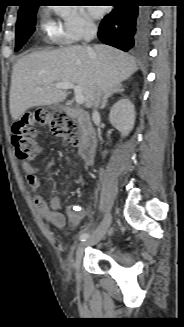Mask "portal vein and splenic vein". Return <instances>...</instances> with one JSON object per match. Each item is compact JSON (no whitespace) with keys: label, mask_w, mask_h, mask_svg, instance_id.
Masks as SVG:
<instances>
[{"label":"portal vein and splenic vein","mask_w":184,"mask_h":327,"mask_svg":"<svg viewBox=\"0 0 184 327\" xmlns=\"http://www.w3.org/2000/svg\"><path fill=\"white\" fill-rule=\"evenodd\" d=\"M54 87L56 89H73L74 90V94H75V101L77 104L81 105L84 103V96L82 94V91L80 89V87H78L77 85H75L72 82H62V83H56L54 85ZM41 90V89H39Z\"/></svg>","instance_id":"obj_1"}]
</instances>
